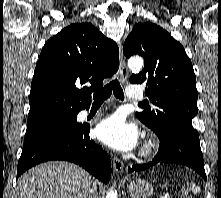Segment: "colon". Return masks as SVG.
Segmentation results:
<instances>
[{"mask_svg": "<svg viewBox=\"0 0 221 198\" xmlns=\"http://www.w3.org/2000/svg\"><path fill=\"white\" fill-rule=\"evenodd\" d=\"M185 196L186 198H193V196L190 194L188 190H185Z\"/></svg>", "mask_w": 221, "mask_h": 198, "instance_id": "5ec220e1", "label": "colon"}]
</instances>
